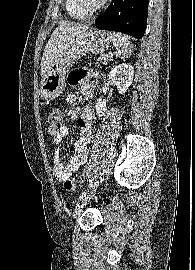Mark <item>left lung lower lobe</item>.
Instances as JSON below:
<instances>
[{"instance_id":"obj_1","label":"left lung lower lobe","mask_w":195,"mask_h":270,"mask_svg":"<svg viewBox=\"0 0 195 270\" xmlns=\"http://www.w3.org/2000/svg\"><path fill=\"white\" fill-rule=\"evenodd\" d=\"M148 3L149 0H113L105 12L96 18L95 26L140 39L146 29Z\"/></svg>"}]
</instances>
